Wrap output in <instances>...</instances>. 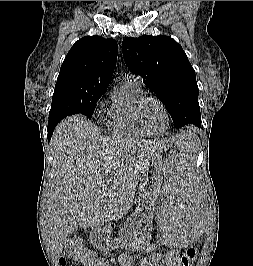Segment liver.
Masks as SVG:
<instances>
[{
    "mask_svg": "<svg viewBox=\"0 0 253 266\" xmlns=\"http://www.w3.org/2000/svg\"><path fill=\"white\" fill-rule=\"evenodd\" d=\"M51 145L57 169L49 195L48 226L57 255L78 227L97 230L124 217L148 162L169 147L167 141L104 136L82 115L62 120Z\"/></svg>",
    "mask_w": 253,
    "mask_h": 266,
    "instance_id": "1",
    "label": "liver"
}]
</instances>
